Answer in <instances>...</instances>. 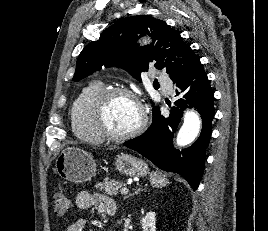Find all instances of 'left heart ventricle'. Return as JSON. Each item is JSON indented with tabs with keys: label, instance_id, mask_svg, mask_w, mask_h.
<instances>
[{
	"label": "left heart ventricle",
	"instance_id": "obj_1",
	"mask_svg": "<svg viewBox=\"0 0 268 231\" xmlns=\"http://www.w3.org/2000/svg\"><path fill=\"white\" fill-rule=\"evenodd\" d=\"M107 128L114 133H126L140 121V110L135 101L125 96L109 99L105 108Z\"/></svg>",
	"mask_w": 268,
	"mask_h": 231
}]
</instances>
